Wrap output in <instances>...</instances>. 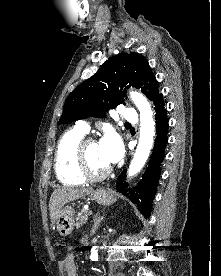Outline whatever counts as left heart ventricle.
Listing matches in <instances>:
<instances>
[{
    "label": "left heart ventricle",
    "instance_id": "obj_1",
    "mask_svg": "<svg viewBox=\"0 0 221 276\" xmlns=\"http://www.w3.org/2000/svg\"><path fill=\"white\" fill-rule=\"evenodd\" d=\"M87 157L91 168L95 172H102L109 167V164L103 158L99 143H91L87 147Z\"/></svg>",
    "mask_w": 221,
    "mask_h": 276
}]
</instances>
